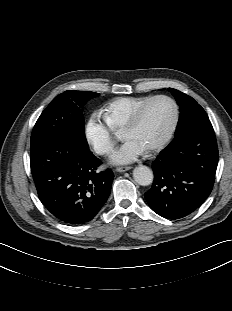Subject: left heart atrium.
<instances>
[{"label": "left heart atrium", "instance_id": "left-heart-atrium-1", "mask_svg": "<svg viewBox=\"0 0 232 311\" xmlns=\"http://www.w3.org/2000/svg\"><path fill=\"white\" fill-rule=\"evenodd\" d=\"M146 149L137 141L129 139L117 150L111 160L115 164L131 163L141 156Z\"/></svg>", "mask_w": 232, "mask_h": 311}]
</instances>
